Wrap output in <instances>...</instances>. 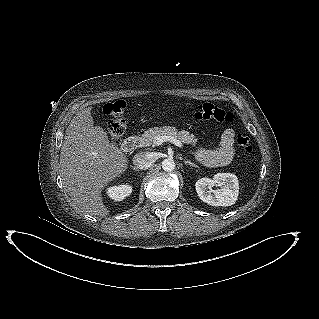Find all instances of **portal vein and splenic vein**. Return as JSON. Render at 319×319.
I'll return each instance as SVG.
<instances>
[{
    "label": "portal vein and splenic vein",
    "instance_id": "obj_1",
    "mask_svg": "<svg viewBox=\"0 0 319 319\" xmlns=\"http://www.w3.org/2000/svg\"><path fill=\"white\" fill-rule=\"evenodd\" d=\"M165 141H169V142L175 144L176 146H178L180 148L182 147L181 141H179V140H177V139H175L173 137H170V136H156L154 138V143L156 145H158V146L161 145Z\"/></svg>",
    "mask_w": 319,
    "mask_h": 319
}]
</instances>
